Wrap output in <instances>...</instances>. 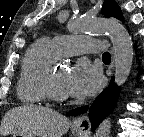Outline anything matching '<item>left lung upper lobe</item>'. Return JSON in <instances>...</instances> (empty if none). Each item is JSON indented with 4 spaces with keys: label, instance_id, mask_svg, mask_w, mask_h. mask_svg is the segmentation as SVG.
I'll list each match as a JSON object with an SVG mask.
<instances>
[{
    "label": "left lung upper lobe",
    "instance_id": "obj_1",
    "mask_svg": "<svg viewBox=\"0 0 144 137\" xmlns=\"http://www.w3.org/2000/svg\"><path fill=\"white\" fill-rule=\"evenodd\" d=\"M102 14L105 17H114L123 21L122 12L114 0H104Z\"/></svg>",
    "mask_w": 144,
    "mask_h": 137
}]
</instances>
